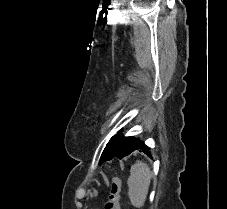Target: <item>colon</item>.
<instances>
[{"mask_svg":"<svg viewBox=\"0 0 227 209\" xmlns=\"http://www.w3.org/2000/svg\"><path fill=\"white\" fill-rule=\"evenodd\" d=\"M120 193L121 180L119 177H112L109 181V197L104 205V209H120Z\"/></svg>","mask_w":227,"mask_h":209,"instance_id":"colon-1","label":"colon"}]
</instances>
